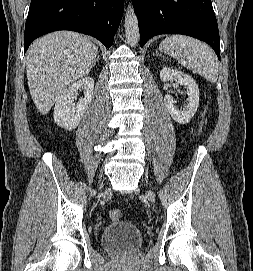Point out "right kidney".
<instances>
[{
	"label": "right kidney",
	"instance_id": "obj_1",
	"mask_svg": "<svg viewBox=\"0 0 253 271\" xmlns=\"http://www.w3.org/2000/svg\"><path fill=\"white\" fill-rule=\"evenodd\" d=\"M84 90V98L75 104L74 100L78 90ZM94 89V80L91 77L82 78L66 88L57 98L54 107V121L65 130L72 131L80 123L89 103Z\"/></svg>",
	"mask_w": 253,
	"mask_h": 271
}]
</instances>
